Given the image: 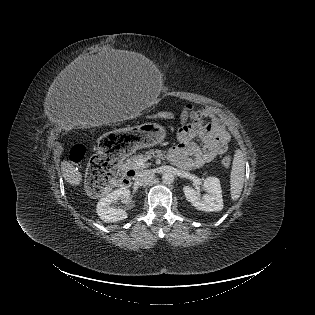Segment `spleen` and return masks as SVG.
Masks as SVG:
<instances>
[{
	"mask_svg": "<svg viewBox=\"0 0 315 315\" xmlns=\"http://www.w3.org/2000/svg\"><path fill=\"white\" fill-rule=\"evenodd\" d=\"M245 174V159L241 150L234 154L233 165L230 175L231 199L236 201L242 192Z\"/></svg>",
	"mask_w": 315,
	"mask_h": 315,
	"instance_id": "obj_1",
	"label": "spleen"
}]
</instances>
